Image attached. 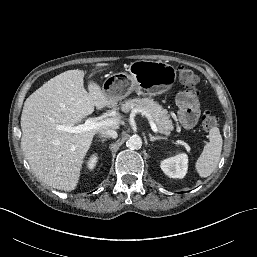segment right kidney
Segmentation results:
<instances>
[{"label":"right kidney","instance_id":"obj_1","mask_svg":"<svg viewBox=\"0 0 257 257\" xmlns=\"http://www.w3.org/2000/svg\"><path fill=\"white\" fill-rule=\"evenodd\" d=\"M97 160H98L97 155H96V154L92 155V156L89 158L88 162H87V167H88L89 169H93V168L95 167L96 163H97Z\"/></svg>","mask_w":257,"mask_h":257}]
</instances>
